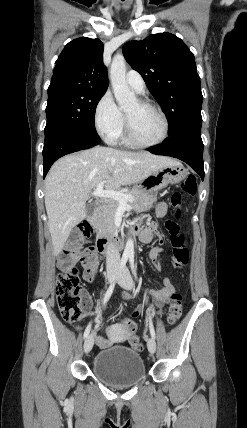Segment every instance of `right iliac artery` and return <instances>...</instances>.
I'll list each match as a JSON object with an SVG mask.
<instances>
[{"label": "right iliac artery", "mask_w": 247, "mask_h": 428, "mask_svg": "<svg viewBox=\"0 0 247 428\" xmlns=\"http://www.w3.org/2000/svg\"><path fill=\"white\" fill-rule=\"evenodd\" d=\"M127 260H128V256H123L122 257L121 262H120V266H119L118 275L125 268ZM115 285H116V279L113 280V282L110 284L109 288L107 289V291L105 293V296H104V299H103V305H105L108 302V300L110 299V297H111V295L113 293V290L115 288ZM90 330H91V323H89L88 326L85 329L84 338H86L89 335Z\"/></svg>", "instance_id": "82829eb1"}]
</instances>
